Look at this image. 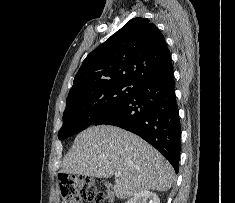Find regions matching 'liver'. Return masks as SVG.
I'll return each instance as SVG.
<instances>
[{
  "mask_svg": "<svg viewBox=\"0 0 235 203\" xmlns=\"http://www.w3.org/2000/svg\"><path fill=\"white\" fill-rule=\"evenodd\" d=\"M120 199L142 191L165 192L174 181L171 164L139 136L110 125L92 126L77 135L61 172L108 178L115 172Z\"/></svg>",
  "mask_w": 235,
  "mask_h": 203,
  "instance_id": "liver-1",
  "label": "liver"
}]
</instances>
